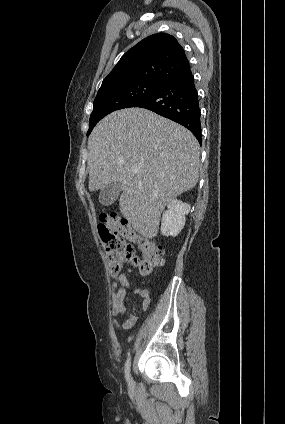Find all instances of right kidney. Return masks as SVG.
<instances>
[{
  "label": "right kidney",
  "mask_w": 285,
  "mask_h": 424,
  "mask_svg": "<svg viewBox=\"0 0 285 424\" xmlns=\"http://www.w3.org/2000/svg\"><path fill=\"white\" fill-rule=\"evenodd\" d=\"M191 206L180 200L173 199L167 205V210L163 213L161 222V232L164 236L175 237L185 225L186 215Z\"/></svg>",
  "instance_id": "obj_1"
}]
</instances>
